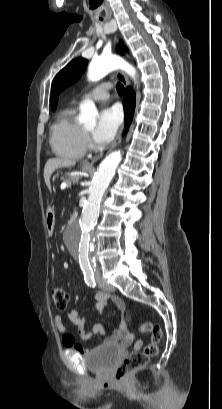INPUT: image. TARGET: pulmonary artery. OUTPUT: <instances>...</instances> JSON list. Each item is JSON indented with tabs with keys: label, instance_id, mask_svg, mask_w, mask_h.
<instances>
[{
	"label": "pulmonary artery",
	"instance_id": "obj_1",
	"mask_svg": "<svg viewBox=\"0 0 222 409\" xmlns=\"http://www.w3.org/2000/svg\"><path fill=\"white\" fill-rule=\"evenodd\" d=\"M111 85L109 83H102L92 89L84 98H91L95 101H103L109 98V90Z\"/></svg>",
	"mask_w": 222,
	"mask_h": 409
}]
</instances>
